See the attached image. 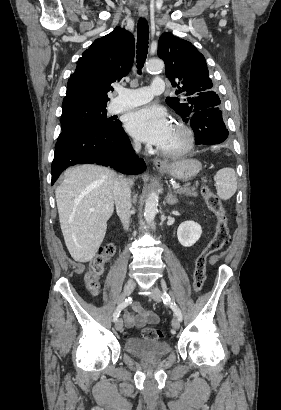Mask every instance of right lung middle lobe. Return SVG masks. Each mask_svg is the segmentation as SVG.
<instances>
[{
  "mask_svg": "<svg viewBox=\"0 0 281 410\" xmlns=\"http://www.w3.org/2000/svg\"><path fill=\"white\" fill-rule=\"evenodd\" d=\"M106 105L78 103L62 107V132L58 140L77 131L86 129H106L115 126L118 121L107 118Z\"/></svg>",
  "mask_w": 281,
  "mask_h": 410,
  "instance_id": "1",
  "label": "right lung middle lobe"
}]
</instances>
